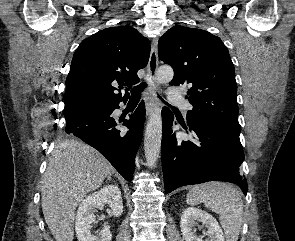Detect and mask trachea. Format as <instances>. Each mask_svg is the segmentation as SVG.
<instances>
[{"mask_svg": "<svg viewBox=\"0 0 295 241\" xmlns=\"http://www.w3.org/2000/svg\"><path fill=\"white\" fill-rule=\"evenodd\" d=\"M145 86L146 85L144 83H142L141 85H139V86L135 87L134 89H132L131 90V97H130V99L131 100H139L140 97H141V91H142V89L145 88Z\"/></svg>", "mask_w": 295, "mask_h": 241, "instance_id": "obj_1", "label": "trachea"}]
</instances>
